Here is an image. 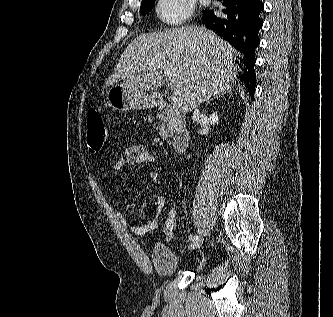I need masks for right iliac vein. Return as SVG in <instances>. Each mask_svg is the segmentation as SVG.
Returning <instances> with one entry per match:
<instances>
[{
  "mask_svg": "<svg viewBox=\"0 0 333 317\" xmlns=\"http://www.w3.org/2000/svg\"><path fill=\"white\" fill-rule=\"evenodd\" d=\"M202 243H203V238L198 237L197 240H194V241L191 242L189 248L192 249V250L196 249V248L200 247L202 245Z\"/></svg>",
  "mask_w": 333,
  "mask_h": 317,
  "instance_id": "right-iliac-vein-1",
  "label": "right iliac vein"
}]
</instances>
